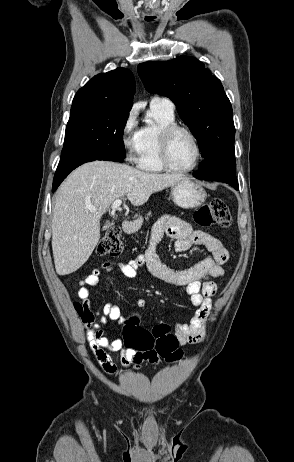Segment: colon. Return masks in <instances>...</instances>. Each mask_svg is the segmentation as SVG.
<instances>
[{"instance_id": "5ec220e1", "label": "colon", "mask_w": 294, "mask_h": 462, "mask_svg": "<svg viewBox=\"0 0 294 462\" xmlns=\"http://www.w3.org/2000/svg\"><path fill=\"white\" fill-rule=\"evenodd\" d=\"M194 221L201 227H228L231 225L232 217L225 202L216 198L203 204L195 212ZM122 250L120 229L111 226L98 243L97 253L100 256L118 257ZM75 308L79 313L82 312L80 303H75ZM123 338L126 347L143 352L148 362L154 363L160 359L174 362L183 358L178 339L165 324H158L152 331H148L139 325L137 319H130L124 323Z\"/></svg>"}]
</instances>
